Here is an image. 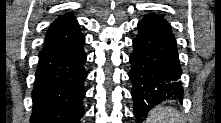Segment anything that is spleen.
<instances>
[{"label": "spleen", "mask_w": 221, "mask_h": 123, "mask_svg": "<svg viewBox=\"0 0 221 123\" xmlns=\"http://www.w3.org/2000/svg\"><path fill=\"white\" fill-rule=\"evenodd\" d=\"M146 123H181V117L172 107L157 106L149 113Z\"/></svg>", "instance_id": "1"}]
</instances>
